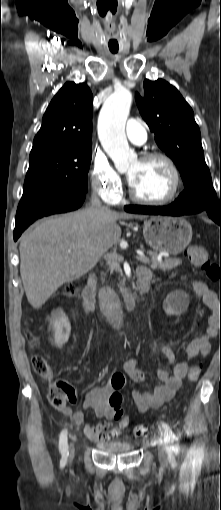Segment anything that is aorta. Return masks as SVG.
Masks as SVG:
<instances>
[{
  "mask_svg": "<svg viewBox=\"0 0 221 510\" xmlns=\"http://www.w3.org/2000/svg\"><path fill=\"white\" fill-rule=\"evenodd\" d=\"M132 103L131 92L118 88L103 104L98 118V136L100 142L113 160L115 167L125 170L134 154L131 152L126 135L125 123ZM104 311L116 322L123 321L124 313L119 296L110 288L102 292Z\"/></svg>",
  "mask_w": 221,
  "mask_h": 510,
  "instance_id": "762f6f07",
  "label": "aorta"
}]
</instances>
